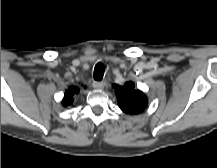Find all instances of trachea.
Returning a JSON list of instances; mask_svg holds the SVG:
<instances>
[{
	"label": "trachea",
	"mask_w": 217,
	"mask_h": 168,
	"mask_svg": "<svg viewBox=\"0 0 217 168\" xmlns=\"http://www.w3.org/2000/svg\"><path fill=\"white\" fill-rule=\"evenodd\" d=\"M104 72H105L104 64L101 62L97 63L94 68V79L96 81H101L103 79Z\"/></svg>",
	"instance_id": "1"
}]
</instances>
